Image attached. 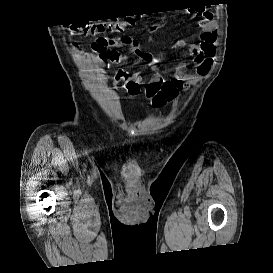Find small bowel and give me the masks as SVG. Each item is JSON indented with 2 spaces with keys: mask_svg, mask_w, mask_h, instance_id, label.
<instances>
[{
  "mask_svg": "<svg viewBox=\"0 0 273 273\" xmlns=\"http://www.w3.org/2000/svg\"><path fill=\"white\" fill-rule=\"evenodd\" d=\"M198 23L200 27V32L196 35L198 42L179 39L173 45L175 49L187 50L189 55L194 58L195 70L193 73L187 70L185 63H180L176 66L170 78L165 81H163L159 73H155L150 79L146 80L141 72L129 73L125 70H118L113 77V81L123 83L129 97L134 98L142 94L153 107H163L181 91H185L200 81L211 70L216 53V25L210 13H204ZM161 26V23H156L150 26L149 29L153 31ZM124 46H130L131 52L139 59L149 64L152 63L153 56L140 50L134 39L129 36L119 38L100 37L92 43L91 49L98 57L101 65L105 67L110 63L127 62L129 57L121 51ZM142 86H144V89L141 88Z\"/></svg>",
  "mask_w": 273,
  "mask_h": 273,
  "instance_id": "obj_1",
  "label": "small bowel"
}]
</instances>
